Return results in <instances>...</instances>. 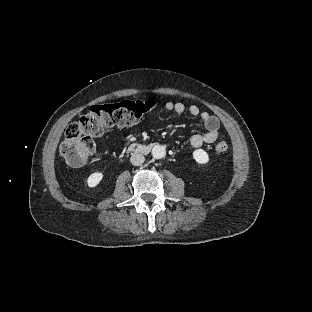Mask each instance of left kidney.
I'll list each match as a JSON object with an SVG mask.
<instances>
[{
  "mask_svg": "<svg viewBox=\"0 0 312 312\" xmlns=\"http://www.w3.org/2000/svg\"><path fill=\"white\" fill-rule=\"evenodd\" d=\"M194 162L200 166H205L210 162V155L202 148H197L192 152Z\"/></svg>",
  "mask_w": 312,
  "mask_h": 312,
  "instance_id": "5707ae66",
  "label": "left kidney"
}]
</instances>
